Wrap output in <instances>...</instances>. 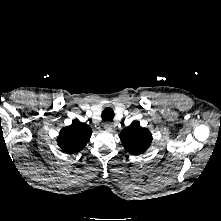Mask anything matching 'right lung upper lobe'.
Here are the masks:
<instances>
[{"instance_id":"obj_1","label":"right lung upper lobe","mask_w":221,"mask_h":221,"mask_svg":"<svg viewBox=\"0 0 221 221\" xmlns=\"http://www.w3.org/2000/svg\"><path fill=\"white\" fill-rule=\"evenodd\" d=\"M92 129L79 120H74L71 126L63 128L58 137V145L68 153L81 151L91 137Z\"/></svg>"}]
</instances>
